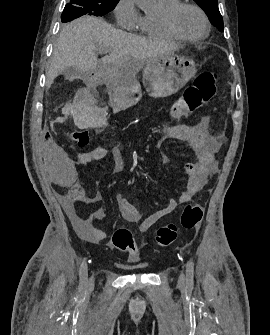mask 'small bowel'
I'll list each match as a JSON object with an SVG mask.
<instances>
[{
    "label": "small bowel",
    "instance_id": "c3829d8e",
    "mask_svg": "<svg viewBox=\"0 0 270 335\" xmlns=\"http://www.w3.org/2000/svg\"><path fill=\"white\" fill-rule=\"evenodd\" d=\"M208 123L209 119L205 118L195 126L176 125L167 126L164 129L165 138L189 141L198 156L197 162H189L185 165L187 186L178 199H169L164 207L142 218L141 212L128 201L125 195L116 194L115 199L123 218L127 222L137 224L140 232L149 231L154 224L171 214L179 205L189 202L217 173L216 154L219 150V143L208 135ZM44 140L47 158H41V165H48L44 177L69 178L63 183L65 187L69 188L63 196V201L65 211L73 226L81 237L89 242L99 243L104 241L106 235L93 226L92 216H82L78 210L80 205L101 204L103 195L99 191L93 196L88 195L85 188L75 179L80 178V171H76V166L72 165H86L102 160L107 156L108 150L104 147H97L80 153L77 158H66L67 150L54 144V135H45ZM111 155L113 158V174L122 173L125 169V163L121 150L118 147H113ZM105 216L106 211L102 206L93 214V217L99 220L105 218Z\"/></svg>",
    "mask_w": 270,
    "mask_h": 335
}]
</instances>
